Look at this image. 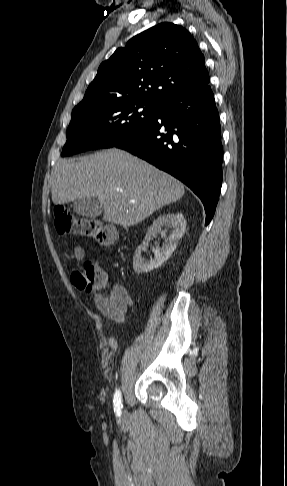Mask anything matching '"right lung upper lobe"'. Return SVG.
<instances>
[{
    "instance_id": "right-lung-upper-lobe-1",
    "label": "right lung upper lobe",
    "mask_w": 287,
    "mask_h": 486,
    "mask_svg": "<svg viewBox=\"0 0 287 486\" xmlns=\"http://www.w3.org/2000/svg\"><path fill=\"white\" fill-rule=\"evenodd\" d=\"M209 81L204 56L191 34L180 25L160 23L131 38L99 66L73 111L124 99L161 104Z\"/></svg>"
}]
</instances>
